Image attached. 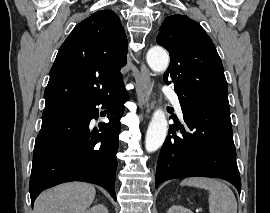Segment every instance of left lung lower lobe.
<instances>
[{"instance_id":"obj_1","label":"left lung lower lobe","mask_w":270,"mask_h":213,"mask_svg":"<svg viewBox=\"0 0 270 213\" xmlns=\"http://www.w3.org/2000/svg\"><path fill=\"white\" fill-rule=\"evenodd\" d=\"M183 126L175 128L185 134L178 137L174 126L158 158L155 187L161 182L194 176L221 178L231 182L240 193L241 179L236 164L230 111L217 106L196 104L179 97Z\"/></svg>"}]
</instances>
